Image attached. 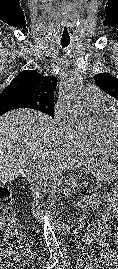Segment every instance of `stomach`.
Listing matches in <instances>:
<instances>
[{"label":"stomach","instance_id":"stomach-1","mask_svg":"<svg viewBox=\"0 0 118 269\" xmlns=\"http://www.w3.org/2000/svg\"><path fill=\"white\" fill-rule=\"evenodd\" d=\"M89 171L100 182L110 183L118 176V168L110 162H100L90 166Z\"/></svg>","mask_w":118,"mask_h":269}]
</instances>
